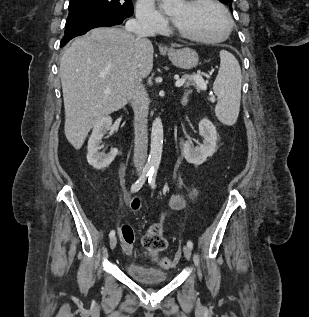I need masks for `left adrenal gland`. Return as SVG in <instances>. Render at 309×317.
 <instances>
[{
	"label": "left adrenal gland",
	"instance_id": "a2214340",
	"mask_svg": "<svg viewBox=\"0 0 309 317\" xmlns=\"http://www.w3.org/2000/svg\"><path fill=\"white\" fill-rule=\"evenodd\" d=\"M190 93H191V90H186L184 92V95L182 97V103H186L187 102V99H188V96H189Z\"/></svg>",
	"mask_w": 309,
	"mask_h": 317
}]
</instances>
